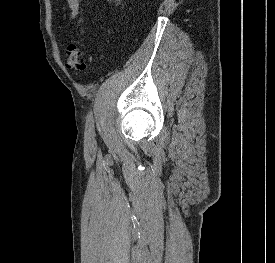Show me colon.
Wrapping results in <instances>:
<instances>
[{"label": "colon", "instance_id": "obj_1", "mask_svg": "<svg viewBox=\"0 0 275 263\" xmlns=\"http://www.w3.org/2000/svg\"><path fill=\"white\" fill-rule=\"evenodd\" d=\"M66 66L76 74H80L86 69L83 52L77 42H71L68 46Z\"/></svg>", "mask_w": 275, "mask_h": 263}]
</instances>
